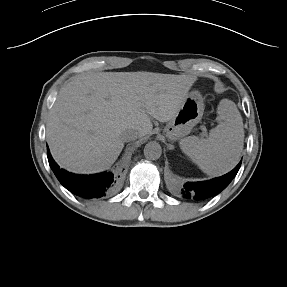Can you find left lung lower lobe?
<instances>
[{"instance_id":"left-lung-lower-lobe-1","label":"left lung lower lobe","mask_w":287,"mask_h":287,"mask_svg":"<svg viewBox=\"0 0 287 287\" xmlns=\"http://www.w3.org/2000/svg\"><path fill=\"white\" fill-rule=\"evenodd\" d=\"M240 165L241 162L231 172L219 178L204 182H189L184 184V187L180 190L181 195L183 198L202 201L218 194L232 181Z\"/></svg>"}]
</instances>
